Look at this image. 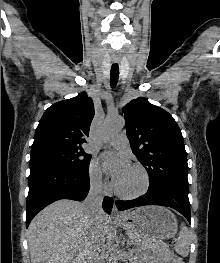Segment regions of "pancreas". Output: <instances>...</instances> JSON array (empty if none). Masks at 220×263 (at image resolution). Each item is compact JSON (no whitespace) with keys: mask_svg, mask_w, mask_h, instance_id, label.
Returning <instances> with one entry per match:
<instances>
[{"mask_svg":"<svg viewBox=\"0 0 220 263\" xmlns=\"http://www.w3.org/2000/svg\"><path fill=\"white\" fill-rule=\"evenodd\" d=\"M129 236L135 239L134 236L130 233H129ZM152 250L161 260L167 263H169L174 256L173 252L169 249V247L162 242L153 243Z\"/></svg>","mask_w":220,"mask_h":263,"instance_id":"obj_1","label":"pancreas"}]
</instances>
